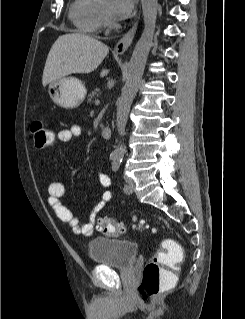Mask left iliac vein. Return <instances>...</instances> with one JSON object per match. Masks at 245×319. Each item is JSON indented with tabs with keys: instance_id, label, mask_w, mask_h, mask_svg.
<instances>
[{
	"instance_id": "1",
	"label": "left iliac vein",
	"mask_w": 245,
	"mask_h": 319,
	"mask_svg": "<svg viewBox=\"0 0 245 319\" xmlns=\"http://www.w3.org/2000/svg\"><path fill=\"white\" fill-rule=\"evenodd\" d=\"M125 181H126V184H127V187H128V190L125 191V192L130 194L135 189L134 181L128 176H125Z\"/></svg>"
}]
</instances>
